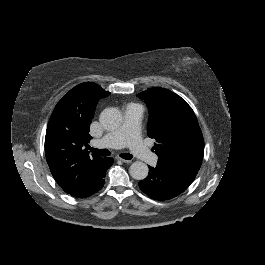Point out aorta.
I'll list each match as a JSON object with an SVG mask.
<instances>
[{"label":"aorta","instance_id":"762f6f07","mask_svg":"<svg viewBox=\"0 0 265 265\" xmlns=\"http://www.w3.org/2000/svg\"><path fill=\"white\" fill-rule=\"evenodd\" d=\"M122 113L116 107H107L100 114V123L107 129L118 128L122 123ZM148 166L141 161L133 162L129 167V173L136 180H143L148 175Z\"/></svg>","mask_w":265,"mask_h":265}]
</instances>
